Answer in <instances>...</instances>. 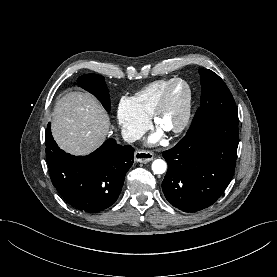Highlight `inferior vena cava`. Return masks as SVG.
<instances>
[{
    "label": "inferior vena cava",
    "instance_id": "602c4592",
    "mask_svg": "<svg viewBox=\"0 0 277 277\" xmlns=\"http://www.w3.org/2000/svg\"><path fill=\"white\" fill-rule=\"evenodd\" d=\"M121 135H122V138L124 139V141H126L128 143H132L141 138V136L138 133H136L132 130H128V129H122Z\"/></svg>",
    "mask_w": 277,
    "mask_h": 277
}]
</instances>
